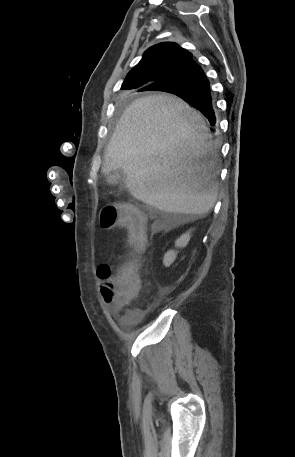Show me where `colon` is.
I'll return each mask as SVG.
<instances>
[{"instance_id": "colon-1", "label": "colon", "mask_w": 295, "mask_h": 457, "mask_svg": "<svg viewBox=\"0 0 295 457\" xmlns=\"http://www.w3.org/2000/svg\"><path fill=\"white\" fill-rule=\"evenodd\" d=\"M100 220L105 228L121 225L129 231L133 255L128 263L115 275L111 274L106 266L98 269L104 301L117 308H122L137 296L140 289L139 255L145 250L147 243L146 220L141 211L126 203L104 206L101 210Z\"/></svg>"}]
</instances>
